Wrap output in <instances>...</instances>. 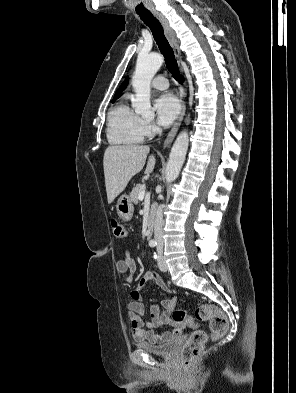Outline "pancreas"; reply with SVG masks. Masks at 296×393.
Here are the masks:
<instances>
[{
    "instance_id": "1",
    "label": "pancreas",
    "mask_w": 296,
    "mask_h": 393,
    "mask_svg": "<svg viewBox=\"0 0 296 393\" xmlns=\"http://www.w3.org/2000/svg\"><path fill=\"white\" fill-rule=\"evenodd\" d=\"M145 188L144 184H137L130 193V199L134 204H138V195Z\"/></svg>"
}]
</instances>
